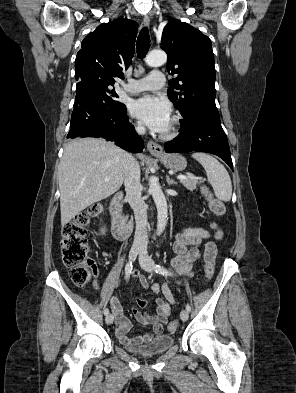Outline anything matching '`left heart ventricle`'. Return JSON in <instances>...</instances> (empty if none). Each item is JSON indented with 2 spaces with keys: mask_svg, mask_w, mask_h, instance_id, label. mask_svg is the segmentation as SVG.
Returning <instances> with one entry per match:
<instances>
[{
  "mask_svg": "<svg viewBox=\"0 0 296 393\" xmlns=\"http://www.w3.org/2000/svg\"><path fill=\"white\" fill-rule=\"evenodd\" d=\"M170 125H171V121H170V123H169V126H168V128H167L165 131H167V130L169 129Z\"/></svg>",
  "mask_w": 296,
  "mask_h": 393,
  "instance_id": "left-heart-ventricle-1",
  "label": "left heart ventricle"
}]
</instances>
